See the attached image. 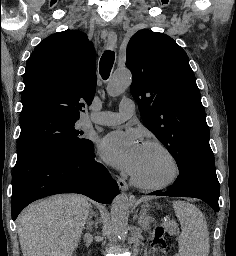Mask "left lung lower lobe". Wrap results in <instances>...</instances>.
I'll list each match as a JSON object with an SVG mask.
<instances>
[{"label": "left lung lower lobe", "mask_w": 236, "mask_h": 256, "mask_svg": "<svg viewBox=\"0 0 236 256\" xmlns=\"http://www.w3.org/2000/svg\"><path fill=\"white\" fill-rule=\"evenodd\" d=\"M149 195L199 198L218 212L220 184L215 167L190 165L180 171L178 178L168 191L158 190Z\"/></svg>", "instance_id": "left-lung-lower-lobe-1"}]
</instances>
